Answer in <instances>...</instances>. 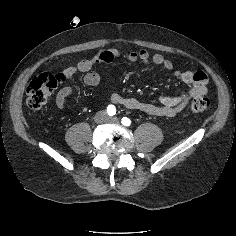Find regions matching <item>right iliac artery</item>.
<instances>
[{
	"mask_svg": "<svg viewBox=\"0 0 236 236\" xmlns=\"http://www.w3.org/2000/svg\"><path fill=\"white\" fill-rule=\"evenodd\" d=\"M107 113H108V115H110V116L115 115V114H116V108H115V106H114V105H109V106L107 107Z\"/></svg>",
	"mask_w": 236,
	"mask_h": 236,
	"instance_id": "obj_1",
	"label": "right iliac artery"
}]
</instances>
